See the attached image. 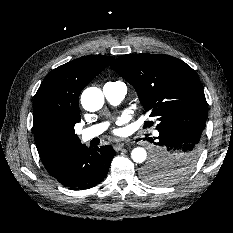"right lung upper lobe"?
<instances>
[{"instance_id": "cb5924a9", "label": "right lung upper lobe", "mask_w": 233, "mask_h": 233, "mask_svg": "<svg viewBox=\"0 0 233 233\" xmlns=\"http://www.w3.org/2000/svg\"><path fill=\"white\" fill-rule=\"evenodd\" d=\"M110 56H84L49 72L34 99L33 132L42 160L58 151L61 142L67 148L79 145L74 126L80 122L79 95L112 61Z\"/></svg>"}]
</instances>
